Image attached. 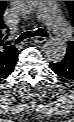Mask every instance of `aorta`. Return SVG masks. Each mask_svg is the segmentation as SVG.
I'll return each instance as SVG.
<instances>
[{"label": "aorta", "mask_w": 74, "mask_h": 122, "mask_svg": "<svg viewBox=\"0 0 74 122\" xmlns=\"http://www.w3.org/2000/svg\"><path fill=\"white\" fill-rule=\"evenodd\" d=\"M12 5L23 14L34 12L40 5V1H11ZM67 51L66 43L60 38H51L43 47V53L48 61H61Z\"/></svg>", "instance_id": "1"}]
</instances>
